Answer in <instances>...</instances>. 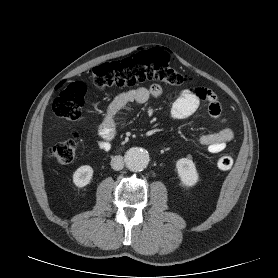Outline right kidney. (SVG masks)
Wrapping results in <instances>:
<instances>
[{
    "mask_svg": "<svg viewBox=\"0 0 278 278\" xmlns=\"http://www.w3.org/2000/svg\"><path fill=\"white\" fill-rule=\"evenodd\" d=\"M93 176V168L89 165L79 167L73 174L74 184L82 188L90 183Z\"/></svg>",
    "mask_w": 278,
    "mask_h": 278,
    "instance_id": "1",
    "label": "right kidney"
}]
</instances>
